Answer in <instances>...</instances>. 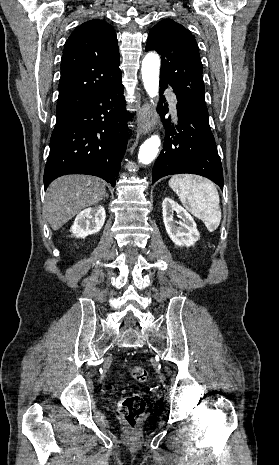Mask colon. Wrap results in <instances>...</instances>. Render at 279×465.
Wrapping results in <instances>:
<instances>
[{"instance_id": "1", "label": "colon", "mask_w": 279, "mask_h": 465, "mask_svg": "<svg viewBox=\"0 0 279 465\" xmlns=\"http://www.w3.org/2000/svg\"><path fill=\"white\" fill-rule=\"evenodd\" d=\"M127 372L139 382L147 380V371L142 367L131 366L127 368ZM145 409L146 401L140 394L132 391L123 393L120 400L119 412L131 432L136 430Z\"/></svg>"}]
</instances>
